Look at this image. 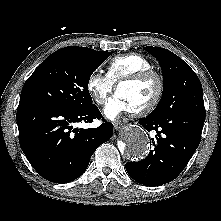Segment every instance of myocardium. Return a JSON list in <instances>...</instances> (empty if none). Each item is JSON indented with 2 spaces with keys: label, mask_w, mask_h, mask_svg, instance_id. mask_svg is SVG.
Masks as SVG:
<instances>
[{
  "label": "myocardium",
  "mask_w": 221,
  "mask_h": 221,
  "mask_svg": "<svg viewBox=\"0 0 221 221\" xmlns=\"http://www.w3.org/2000/svg\"><path fill=\"white\" fill-rule=\"evenodd\" d=\"M147 80H154L156 82L157 89H156L155 96L145 106L131 111V113H133L134 115H146L152 112L158 106L164 93V81L161 75L154 70L140 71V72H137L135 74H132L128 77L121 79L116 85V90H118V88L121 85L135 84V83H140V82H144Z\"/></svg>",
  "instance_id": "1"
}]
</instances>
